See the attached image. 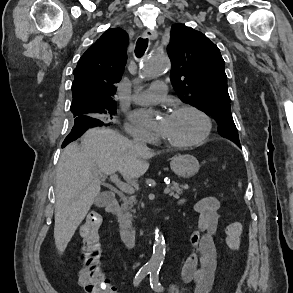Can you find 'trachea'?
Listing matches in <instances>:
<instances>
[{
	"instance_id": "obj_1",
	"label": "trachea",
	"mask_w": 293,
	"mask_h": 293,
	"mask_svg": "<svg viewBox=\"0 0 293 293\" xmlns=\"http://www.w3.org/2000/svg\"><path fill=\"white\" fill-rule=\"evenodd\" d=\"M148 46V39L147 38H139L136 43L135 48V55L139 58L141 57Z\"/></svg>"
}]
</instances>
